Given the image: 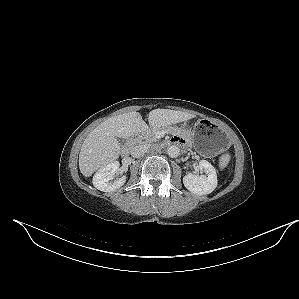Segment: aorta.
<instances>
[{
    "label": "aorta",
    "mask_w": 299,
    "mask_h": 299,
    "mask_svg": "<svg viewBox=\"0 0 299 299\" xmlns=\"http://www.w3.org/2000/svg\"><path fill=\"white\" fill-rule=\"evenodd\" d=\"M167 153L171 158H176L180 154V149L176 145H172L167 149Z\"/></svg>",
    "instance_id": "762f6f07"
}]
</instances>
